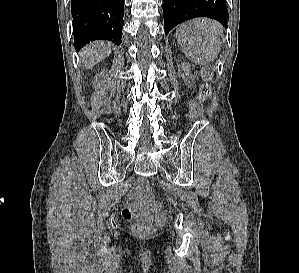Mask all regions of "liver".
I'll list each match as a JSON object with an SVG mask.
<instances>
[{
  "instance_id": "liver-1",
  "label": "liver",
  "mask_w": 299,
  "mask_h": 273,
  "mask_svg": "<svg viewBox=\"0 0 299 273\" xmlns=\"http://www.w3.org/2000/svg\"><path fill=\"white\" fill-rule=\"evenodd\" d=\"M113 45L109 42L90 44L81 51L82 64L85 70L93 67L97 62L106 58L112 51Z\"/></svg>"
}]
</instances>
